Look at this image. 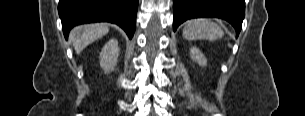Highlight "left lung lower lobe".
I'll return each instance as SVG.
<instances>
[{
    "label": "left lung lower lobe",
    "mask_w": 305,
    "mask_h": 116,
    "mask_svg": "<svg viewBox=\"0 0 305 116\" xmlns=\"http://www.w3.org/2000/svg\"><path fill=\"white\" fill-rule=\"evenodd\" d=\"M174 31L191 18L216 17L230 22L239 34L245 15L244 0H173Z\"/></svg>",
    "instance_id": "left-lung-lower-lobe-1"
}]
</instances>
